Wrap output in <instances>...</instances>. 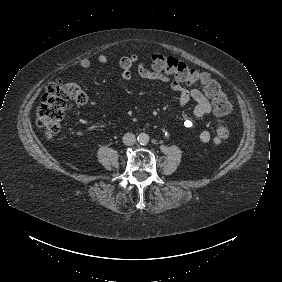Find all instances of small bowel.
Returning <instances> with one entry per match:
<instances>
[{"instance_id":"1","label":"small bowel","mask_w":282,"mask_h":282,"mask_svg":"<svg viewBox=\"0 0 282 282\" xmlns=\"http://www.w3.org/2000/svg\"><path fill=\"white\" fill-rule=\"evenodd\" d=\"M98 63L105 64L107 57L103 54L97 58ZM136 65L139 76L146 80L158 81L169 85L178 95V103L180 107L186 106L190 101L195 102L193 114L196 117H203L212 114V106L207 95L198 88H191L183 85L177 79L169 77L167 74L150 69L147 64L140 61L136 54H130L123 56L119 60V66L122 69L121 79L123 81H129L132 78L131 68ZM79 66L82 69H88L91 66V62L87 58H83L79 62ZM191 122H187V126H190ZM210 132L206 129L199 131V140L202 143H208L210 141Z\"/></svg>"}]
</instances>
